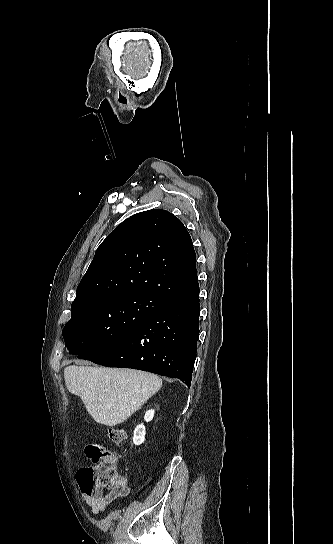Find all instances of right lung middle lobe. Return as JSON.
Returning a JSON list of instances; mask_svg holds the SVG:
<instances>
[{
  "mask_svg": "<svg viewBox=\"0 0 333 544\" xmlns=\"http://www.w3.org/2000/svg\"><path fill=\"white\" fill-rule=\"evenodd\" d=\"M166 300L146 293L94 297L71 305V319L63 328L65 345L71 354L83 358L134 331Z\"/></svg>",
  "mask_w": 333,
  "mask_h": 544,
  "instance_id": "dd1d6c3e",
  "label": "right lung middle lobe"
}]
</instances>
